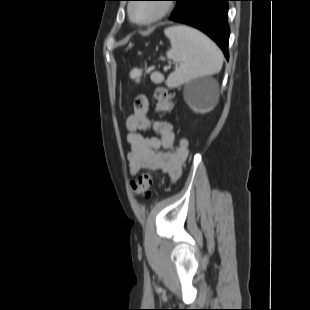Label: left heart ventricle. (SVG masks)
Listing matches in <instances>:
<instances>
[{
	"instance_id": "left-heart-ventricle-1",
	"label": "left heart ventricle",
	"mask_w": 310,
	"mask_h": 310,
	"mask_svg": "<svg viewBox=\"0 0 310 310\" xmlns=\"http://www.w3.org/2000/svg\"><path fill=\"white\" fill-rule=\"evenodd\" d=\"M157 11V3H141L134 7L133 14L136 19L143 20L155 15Z\"/></svg>"
}]
</instances>
